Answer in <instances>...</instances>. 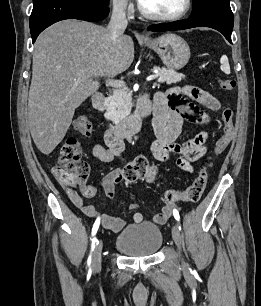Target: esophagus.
<instances>
[{"label":"esophagus","mask_w":261,"mask_h":306,"mask_svg":"<svg viewBox=\"0 0 261 306\" xmlns=\"http://www.w3.org/2000/svg\"><path fill=\"white\" fill-rule=\"evenodd\" d=\"M139 38L141 39H147V37L144 34H139Z\"/></svg>","instance_id":"esophagus-1"}]
</instances>
